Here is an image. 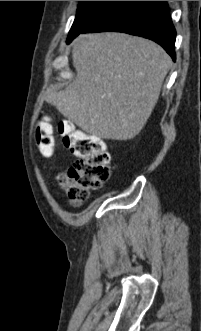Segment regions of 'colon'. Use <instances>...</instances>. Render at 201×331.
<instances>
[{
	"label": "colon",
	"instance_id": "5ec220e1",
	"mask_svg": "<svg viewBox=\"0 0 201 331\" xmlns=\"http://www.w3.org/2000/svg\"><path fill=\"white\" fill-rule=\"evenodd\" d=\"M58 131L64 146L76 158L74 164L60 176L59 183L70 202L79 206L88 199L91 191L98 190L109 179V153L98 137L78 130L70 122H61ZM36 138L40 152L50 156L54 138L48 122L39 124Z\"/></svg>",
	"mask_w": 201,
	"mask_h": 331
}]
</instances>
